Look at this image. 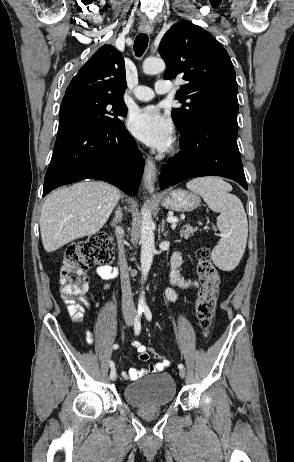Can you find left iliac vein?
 <instances>
[{
  "instance_id": "4c4485c4",
  "label": "left iliac vein",
  "mask_w": 294,
  "mask_h": 462,
  "mask_svg": "<svg viewBox=\"0 0 294 462\" xmlns=\"http://www.w3.org/2000/svg\"><path fill=\"white\" fill-rule=\"evenodd\" d=\"M179 375H180L181 378H184V377H185V375H186V370H185V368L180 369Z\"/></svg>"
}]
</instances>
